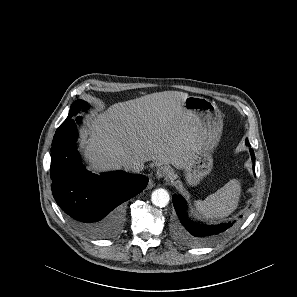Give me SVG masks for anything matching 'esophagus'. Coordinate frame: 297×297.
Listing matches in <instances>:
<instances>
[{
	"instance_id": "1",
	"label": "esophagus",
	"mask_w": 297,
	"mask_h": 297,
	"mask_svg": "<svg viewBox=\"0 0 297 297\" xmlns=\"http://www.w3.org/2000/svg\"><path fill=\"white\" fill-rule=\"evenodd\" d=\"M172 175V171L170 168H168L167 166H160L157 170H156V177L158 179L161 178H170Z\"/></svg>"
}]
</instances>
